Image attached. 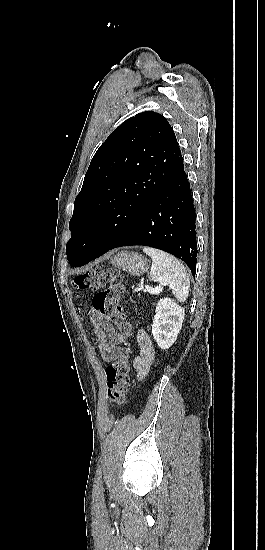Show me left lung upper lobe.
Returning a JSON list of instances; mask_svg holds the SVG:
<instances>
[{"mask_svg":"<svg viewBox=\"0 0 265 550\" xmlns=\"http://www.w3.org/2000/svg\"><path fill=\"white\" fill-rule=\"evenodd\" d=\"M174 131L146 111L115 129L99 147L75 199L66 245L72 267L107 250L138 218L182 165Z\"/></svg>","mask_w":265,"mask_h":550,"instance_id":"left-lung-upper-lobe-1","label":"left lung upper lobe"}]
</instances>
